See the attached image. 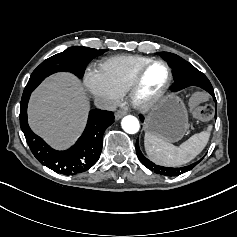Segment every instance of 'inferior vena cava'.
Returning a JSON list of instances; mask_svg holds the SVG:
<instances>
[{
  "label": "inferior vena cava",
  "mask_w": 237,
  "mask_h": 237,
  "mask_svg": "<svg viewBox=\"0 0 237 237\" xmlns=\"http://www.w3.org/2000/svg\"><path fill=\"white\" fill-rule=\"evenodd\" d=\"M94 104L96 108L101 109V110H106L110 112H114L118 108V104L114 101H110L107 98L103 97H98L94 99Z\"/></svg>",
  "instance_id": "1"
}]
</instances>
